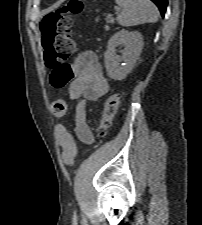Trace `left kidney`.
Instances as JSON below:
<instances>
[{"label":"left kidney","instance_id":"left-kidney-1","mask_svg":"<svg viewBox=\"0 0 202 225\" xmlns=\"http://www.w3.org/2000/svg\"><path fill=\"white\" fill-rule=\"evenodd\" d=\"M123 46L122 56H116V47ZM143 48V37L137 32L118 31L108 41L104 54L107 75L114 80H122L133 69ZM120 62H123L122 64Z\"/></svg>","mask_w":202,"mask_h":225}]
</instances>
